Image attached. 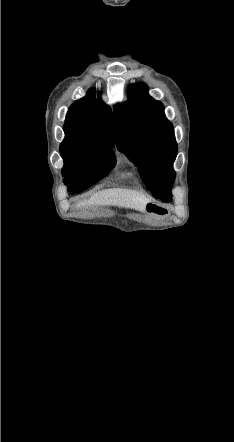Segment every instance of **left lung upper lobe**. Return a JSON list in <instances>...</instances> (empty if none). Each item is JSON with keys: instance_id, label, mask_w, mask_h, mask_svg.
Here are the masks:
<instances>
[{"instance_id": "obj_1", "label": "left lung upper lobe", "mask_w": 234, "mask_h": 442, "mask_svg": "<svg viewBox=\"0 0 234 442\" xmlns=\"http://www.w3.org/2000/svg\"><path fill=\"white\" fill-rule=\"evenodd\" d=\"M115 141L119 151L138 166L143 182L155 197L171 200L177 143L161 102L138 83L129 87V99L114 108Z\"/></svg>"}]
</instances>
